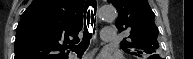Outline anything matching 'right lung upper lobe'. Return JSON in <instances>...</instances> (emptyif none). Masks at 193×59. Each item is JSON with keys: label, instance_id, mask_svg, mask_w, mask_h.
<instances>
[{"label": "right lung upper lobe", "instance_id": "cb5924a9", "mask_svg": "<svg viewBox=\"0 0 193 59\" xmlns=\"http://www.w3.org/2000/svg\"><path fill=\"white\" fill-rule=\"evenodd\" d=\"M83 5L84 0H34L17 26L14 59H68L64 50L79 40Z\"/></svg>", "mask_w": 193, "mask_h": 59}]
</instances>
